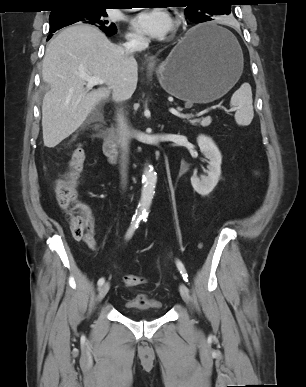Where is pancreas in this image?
<instances>
[{
	"label": "pancreas",
	"instance_id": "obj_1",
	"mask_svg": "<svg viewBox=\"0 0 306 387\" xmlns=\"http://www.w3.org/2000/svg\"><path fill=\"white\" fill-rule=\"evenodd\" d=\"M180 109V108H179ZM189 122L192 124V125H197V124H200L201 126L203 127H206L208 125H210L211 123V118H202V119H192V120H189Z\"/></svg>",
	"mask_w": 306,
	"mask_h": 387
}]
</instances>
